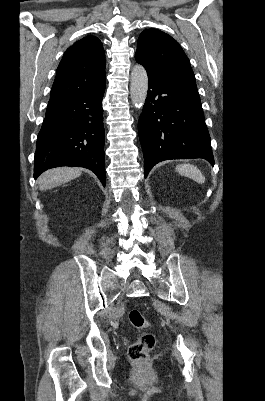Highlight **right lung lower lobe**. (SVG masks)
Returning <instances> with one entry per match:
<instances>
[{"label":"right lung lower lobe","instance_id":"obj_1","mask_svg":"<svg viewBox=\"0 0 265 401\" xmlns=\"http://www.w3.org/2000/svg\"><path fill=\"white\" fill-rule=\"evenodd\" d=\"M105 86L49 102L37 137L34 178L58 166L92 170L106 184L102 99Z\"/></svg>","mask_w":265,"mask_h":401}]
</instances>
